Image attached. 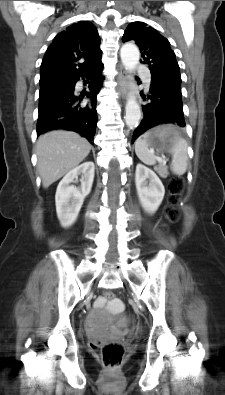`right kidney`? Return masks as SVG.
<instances>
[{
  "instance_id": "1",
  "label": "right kidney",
  "mask_w": 225,
  "mask_h": 395,
  "mask_svg": "<svg viewBox=\"0 0 225 395\" xmlns=\"http://www.w3.org/2000/svg\"><path fill=\"white\" fill-rule=\"evenodd\" d=\"M95 173L93 162H85L69 171L60 181L55 195L56 212L63 227L72 225L78 217L85 197L90 193ZM81 175V186L70 185Z\"/></svg>"
}]
</instances>
